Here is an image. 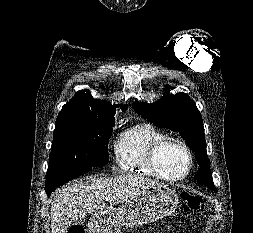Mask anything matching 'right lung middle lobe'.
Returning a JSON list of instances; mask_svg holds the SVG:
<instances>
[{
  "instance_id": "1",
  "label": "right lung middle lobe",
  "mask_w": 253,
  "mask_h": 233,
  "mask_svg": "<svg viewBox=\"0 0 253 233\" xmlns=\"http://www.w3.org/2000/svg\"><path fill=\"white\" fill-rule=\"evenodd\" d=\"M114 125V117L59 113L46 177L67 169L107 164V145Z\"/></svg>"
}]
</instances>
